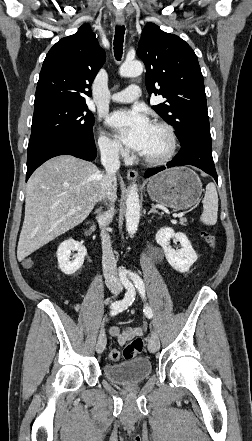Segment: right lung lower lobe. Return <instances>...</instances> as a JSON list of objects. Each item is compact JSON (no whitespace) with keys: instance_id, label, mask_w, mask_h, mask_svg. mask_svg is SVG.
<instances>
[{"instance_id":"98d812e1","label":"right lung lower lobe","mask_w":252,"mask_h":441,"mask_svg":"<svg viewBox=\"0 0 252 441\" xmlns=\"http://www.w3.org/2000/svg\"><path fill=\"white\" fill-rule=\"evenodd\" d=\"M58 155H72L87 161L94 160L97 150L93 135L90 137L54 135L29 141L26 181L36 168Z\"/></svg>"}]
</instances>
